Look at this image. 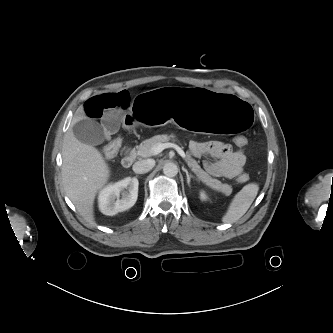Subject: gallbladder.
Masks as SVG:
<instances>
[{"label":"gallbladder","instance_id":"gallbladder-1","mask_svg":"<svg viewBox=\"0 0 333 333\" xmlns=\"http://www.w3.org/2000/svg\"><path fill=\"white\" fill-rule=\"evenodd\" d=\"M74 136L82 143L98 145L104 142L102 127L91 119H83L73 126Z\"/></svg>","mask_w":333,"mask_h":333}]
</instances>
